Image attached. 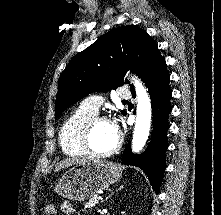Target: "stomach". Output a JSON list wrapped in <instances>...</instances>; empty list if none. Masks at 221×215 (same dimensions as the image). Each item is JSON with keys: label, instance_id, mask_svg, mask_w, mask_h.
I'll list each match as a JSON object with an SVG mask.
<instances>
[{"label": "stomach", "instance_id": "0dacf381", "mask_svg": "<svg viewBox=\"0 0 221 215\" xmlns=\"http://www.w3.org/2000/svg\"><path fill=\"white\" fill-rule=\"evenodd\" d=\"M121 171L116 164L89 159L69 169L55 184V191L73 201H85L117 183Z\"/></svg>", "mask_w": 221, "mask_h": 215}]
</instances>
